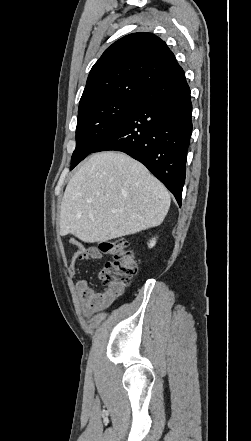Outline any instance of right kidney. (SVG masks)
I'll return each instance as SVG.
<instances>
[{
	"instance_id": "ca27d5eb",
	"label": "right kidney",
	"mask_w": 251,
	"mask_h": 441,
	"mask_svg": "<svg viewBox=\"0 0 251 441\" xmlns=\"http://www.w3.org/2000/svg\"><path fill=\"white\" fill-rule=\"evenodd\" d=\"M155 244H156V239L153 238L152 240H150V243L148 244V246H149V248H152Z\"/></svg>"
}]
</instances>
